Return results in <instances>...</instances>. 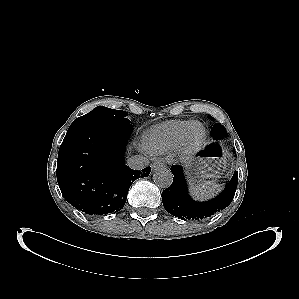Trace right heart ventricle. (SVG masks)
<instances>
[{
  "mask_svg": "<svg viewBox=\"0 0 299 299\" xmlns=\"http://www.w3.org/2000/svg\"><path fill=\"white\" fill-rule=\"evenodd\" d=\"M191 121H169L156 125L145 136V147L153 154H162L178 146Z\"/></svg>",
  "mask_w": 299,
  "mask_h": 299,
  "instance_id": "1",
  "label": "right heart ventricle"
}]
</instances>
